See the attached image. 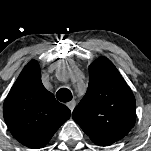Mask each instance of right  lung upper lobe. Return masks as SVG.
Wrapping results in <instances>:
<instances>
[{
    "label": "right lung upper lobe",
    "mask_w": 151,
    "mask_h": 151,
    "mask_svg": "<svg viewBox=\"0 0 151 151\" xmlns=\"http://www.w3.org/2000/svg\"><path fill=\"white\" fill-rule=\"evenodd\" d=\"M5 122L23 145L44 147L71 111L59 103L41 82L40 67L31 60L22 70L3 105Z\"/></svg>",
    "instance_id": "cb5924a9"
}]
</instances>
